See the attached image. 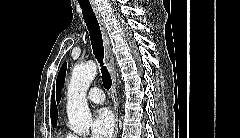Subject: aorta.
Wrapping results in <instances>:
<instances>
[{"instance_id": "1", "label": "aorta", "mask_w": 240, "mask_h": 138, "mask_svg": "<svg viewBox=\"0 0 240 138\" xmlns=\"http://www.w3.org/2000/svg\"><path fill=\"white\" fill-rule=\"evenodd\" d=\"M96 73L97 65L94 62L76 65L68 85L67 115L69 124L71 130L80 135L88 134L92 121L86 93Z\"/></svg>"}]
</instances>
